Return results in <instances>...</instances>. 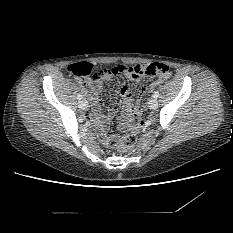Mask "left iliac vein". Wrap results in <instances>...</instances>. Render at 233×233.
Instances as JSON below:
<instances>
[{"label": "left iliac vein", "instance_id": "obj_1", "mask_svg": "<svg viewBox=\"0 0 233 233\" xmlns=\"http://www.w3.org/2000/svg\"><path fill=\"white\" fill-rule=\"evenodd\" d=\"M148 104H149V107H150L151 109H154V108L157 107L158 102H157L156 98H151V99L149 100Z\"/></svg>", "mask_w": 233, "mask_h": 233}]
</instances>
